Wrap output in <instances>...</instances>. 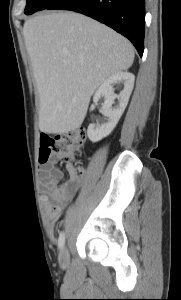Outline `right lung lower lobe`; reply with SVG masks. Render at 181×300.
<instances>
[{"label": "right lung lower lobe", "instance_id": "1", "mask_svg": "<svg viewBox=\"0 0 181 300\" xmlns=\"http://www.w3.org/2000/svg\"><path fill=\"white\" fill-rule=\"evenodd\" d=\"M46 9L71 10L98 20L144 51L145 0H55Z\"/></svg>", "mask_w": 181, "mask_h": 300}]
</instances>
